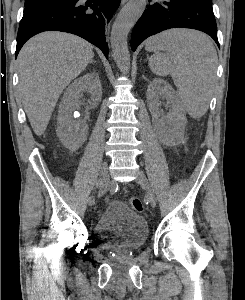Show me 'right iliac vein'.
I'll list each match as a JSON object with an SVG mask.
<instances>
[{
  "label": "right iliac vein",
  "instance_id": "obj_1",
  "mask_svg": "<svg viewBox=\"0 0 245 300\" xmlns=\"http://www.w3.org/2000/svg\"><path fill=\"white\" fill-rule=\"evenodd\" d=\"M100 176H101V178H100V184H99L98 187L103 186V185H102V181H103V178H104V177H107V178H108V181H107V182H108V184H109V175H108V164H107V162H104V163L102 164ZM108 186H109V185H108ZM94 203H95V197H94V196H90V197L88 198V204H89V205H94Z\"/></svg>",
  "mask_w": 245,
  "mask_h": 300
}]
</instances>
